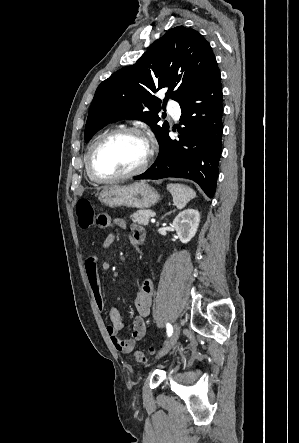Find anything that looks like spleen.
Returning <instances> with one entry per match:
<instances>
[{
    "instance_id": "spleen-1",
    "label": "spleen",
    "mask_w": 299,
    "mask_h": 443,
    "mask_svg": "<svg viewBox=\"0 0 299 443\" xmlns=\"http://www.w3.org/2000/svg\"><path fill=\"white\" fill-rule=\"evenodd\" d=\"M167 190L171 193L177 209H183L191 199L196 197V192L192 188L182 184L170 183L167 185Z\"/></svg>"
}]
</instances>
